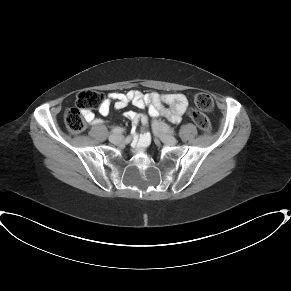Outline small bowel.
<instances>
[{
    "label": "small bowel",
    "instance_id": "obj_1",
    "mask_svg": "<svg viewBox=\"0 0 291 291\" xmlns=\"http://www.w3.org/2000/svg\"><path fill=\"white\" fill-rule=\"evenodd\" d=\"M189 103V99L183 94H158L154 92L143 94L137 90H129L124 93L112 92L108 94L99 111L101 115L106 116L109 114L112 106L115 110H120L128 104H133L141 109L147 107L148 115L152 118L162 115L172 122L177 123L181 120L182 114L187 109ZM83 116L91 126H96L101 123V120L91 110H84ZM124 116L132 122L134 132L137 130L139 124L145 125L147 121L145 116L132 110L125 112ZM148 141V133L136 134L133 140V143L137 147L136 152H143Z\"/></svg>",
    "mask_w": 291,
    "mask_h": 291
}]
</instances>
